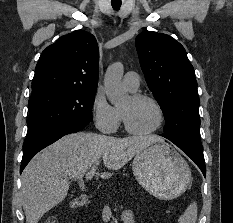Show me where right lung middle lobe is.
<instances>
[{
    "instance_id": "obj_1",
    "label": "right lung middle lobe",
    "mask_w": 233,
    "mask_h": 223,
    "mask_svg": "<svg viewBox=\"0 0 233 223\" xmlns=\"http://www.w3.org/2000/svg\"><path fill=\"white\" fill-rule=\"evenodd\" d=\"M95 94V89H52L32 94L24 150L65 123L91 122Z\"/></svg>"
}]
</instances>
